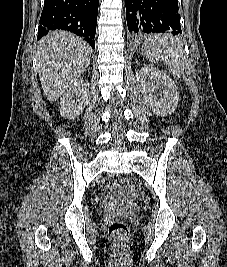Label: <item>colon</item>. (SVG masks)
<instances>
[{"mask_svg":"<svg viewBox=\"0 0 227 267\" xmlns=\"http://www.w3.org/2000/svg\"><path fill=\"white\" fill-rule=\"evenodd\" d=\"M110 192L117 201L131 200L135 194V185L127 178H120L111 184ZM108 234L116 248L122 252L129 238L128 219L126 217L113 218L108 224Z\"/></svg>","mask_w":227,"mask_h":267,"instance_id":"1","label":"colon"}]
</instances>
